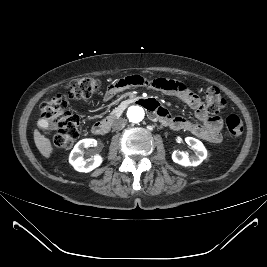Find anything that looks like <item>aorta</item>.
Wrapping results in <instances>:
<instances>
[{"label":"aorta","instance_id":"1","mask_svg":"<svg viewBox=\"0 0 267 267\" xmlns=\"http://www.w3.org/2000/svg\"><path fill=\"white\" fill-rule=\"evenodd\" d=\"M145 115L144 109L140 106H131L127 111V117L132 123H139Z\"/></svg>","mask_w":267,"mask_h":267}]
</instances>
